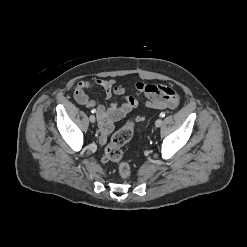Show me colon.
<instances>
[{
    "mask_svg": "<svg viewBox=\"0 0 247 247\" xmlns=\"http://www.w3.org/2000/svg\"><path fill=\"white\" fill-rule=\"evenodd\" d=\"M133 130V121L127 122L112 136L105 148L104 154V159L106 161L119 163V173L125 179L130 176L131 170L129 164L123 160L122 147L131 140Z\"/></svg>",
    "mask_w": 247,
    "mask_h": 247,
    "instance_id": "1",
    "label": "colon"
}]
</instances>
